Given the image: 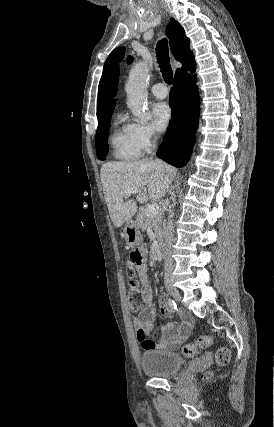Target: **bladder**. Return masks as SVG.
<instances>
[{"mask_svg": "<svg viewBox=\"0 0 274 427\" xmlns=\"http://www.w3.org/2000/svg\"><path fill=\"white\" fill-rule=\"evenodd\" d=\"M143 373L152 377L170 378L183 367L177 352L147 349L140 355Z\"/></svg>", "mask_w": 274, "mask_h": 427, "instance_id": "31cf9c89", "label": "bladder"}]
</instances>
